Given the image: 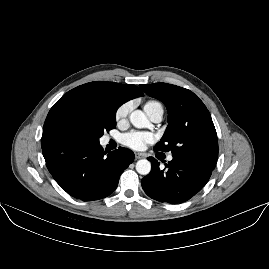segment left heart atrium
Instances as JSON below:
<instances>
[{
  "mask_svg": "<svg viewBox=\"0 0 269 269\" xmlns=\"http://www.w3.org/2000/svg\"><path fill=\"white\" fill-rule=\"evenodd\" d=\"M155 139L151 133L132 131L121 136V143L132 150L140 151L145 149L148 144L153 143Z\"/></svg>",
  "mask_w": 269,
  "mask_h": 269,
  "instance_id": "39dd6f15",
  "label": "left heart atrium"
}]
</instances>
